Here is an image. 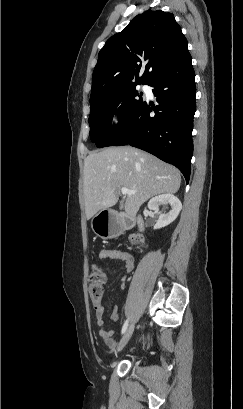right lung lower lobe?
<instances>
[{
    "label": "right lung lower lobe",
    "mask_w": 243,
    "mask_h": 409,
    "mask_svg": "<svg viewBox=\"0 0 243 409\" xmlns=\"http://www.w3.org/2000/svg\"><path fill=\"white\" fill-rule=\"evenodd\" d=\"M195 73L186 46L148 84L159 103L144 101L108 146L131 145L176 166L188 183L193 153ZM154 110L155 116H150Z\"/></svg>",
    "instance_id": "98d812e1"
}]
</instances>
